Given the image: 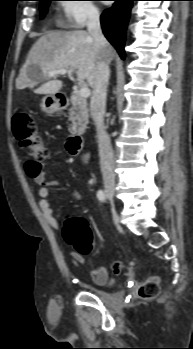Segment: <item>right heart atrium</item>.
Here are the masks:
<instances>
[{
	"label": "right heart atrium",
	"instance_id": "obj_1",
	"mask_svg": "<svg viewBox=\"0 0 193 349\" xmlns=\"http://www.w3.org/2000/svg\"><path fill=\"white\" fill-rule=\"evenodd\" d=\"M61 11L65 24L71 28H82L100 15L98 7L91 0H64Z\"/></svg>",
	"mask_w": 193,
	"mask_h": 349
}]
</instances>
